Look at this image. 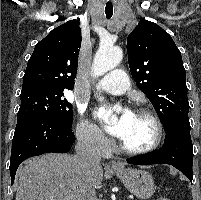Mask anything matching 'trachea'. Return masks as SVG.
<instances>
[{"label": "trachea", "instance_id": "3493384b", "mask_svg": "<svg viewBox=\"0 0 201 200\" xmlns=\"http://www.w3.org/2000/svg\"><path fill=\"white\" fill-rule=\"evenodd\" d=\"M105 14H106L107 19H110L112 17V15H113V6L112 5H106Z\"/></svg>", "mask_w": 201, "mask_h": 200}]
</instances>
